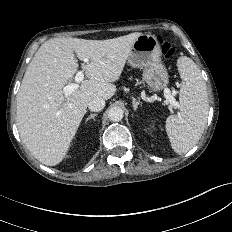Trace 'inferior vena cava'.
Returning <instances> with one entry per match:
<instances>
[{
    "instance_id": "1",
    "label": "inferior vena cava",
    "mask_w": 232,
    "mask_h": 232,
    "mask_svg": "<svg viewBox=\"0 0 232 232\" xmlns=\"http://www.w3.org/2000/svg\"><path fill=\"white\" fill-rule=\"evenodd\" d=\"M104 107H105V100L101 97L93 98L88 104L89 110L93 112H99Z\"/></svg>"
}]
</instances>
